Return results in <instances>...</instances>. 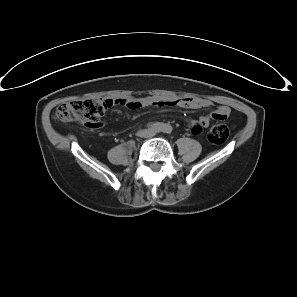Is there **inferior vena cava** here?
<instances>
[{
    "label": "inferior vena cava",
    "instance_id": "602c4592",
    "mask_svg": "<svg viewBox=\"0 0 297 297\" xmlns=\"http://www.w3.org/2000/svg\"><path fill=\"white\" fill-rule=\"evenodd\" d=\"M154 135H155L154 131L150 132V136H154Z\"/></svg>",
    "mask_w": 297,
    "mask_h": 297
}]
</instances>
